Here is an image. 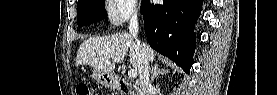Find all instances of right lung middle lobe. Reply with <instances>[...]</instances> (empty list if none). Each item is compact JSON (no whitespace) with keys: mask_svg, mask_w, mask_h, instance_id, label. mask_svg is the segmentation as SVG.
Here are the masks:
<instances>
[{"mask_svg":"<svg viewBox=\"0 0 277 95\" xmlns=\"http://www.w3.org/2000/svg\"><path fill=\"white\" fill-rule=\"evenodd\" d=\"M104 0H80L78 2V27L106 18Z\"/></svg>","mask_w":277,"mask_h":95,"instance_id":"dd1d6c3e","label":"right lung middle lobe"}]
</instances>
